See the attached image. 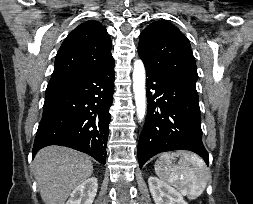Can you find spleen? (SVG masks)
<instances>
[{
  "instance_id": "3e777b00",
  "label": "spleen",
  "mask_w": 253,
  "mask_h": 204,
  "mask_svg": "<svg viewBox=\"0 0 253 204\" xmlns=\"http://www.w3.org/2000/svg\"><path fill=\"white\" fill-rule=\"evenodd\" d=\"M176 157H180L178 163L174 162ZM155 172L190 199L202 195L211 177L204 160L188 151L162 154L155 163Z\"/></svg>"
}]
</instances>
